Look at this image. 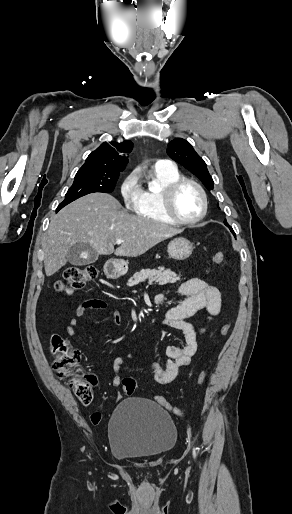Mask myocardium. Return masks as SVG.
Wrapping results in <instances>:
<instances>
[{
	"label": "myocardium",
	"instance_id": "obj_1",
	"mask_svg": "<svg viewBox=\"0 0 292 514\" xmlns=\"http://www.w3.org/2000/svg\"><path fill=\"white\" fill-rule=\"evenodd\" d=\"M187 185L194 187L198 191L201 200L200 213L191 220L181 219L174 211V196L180 188ZM158 199L161 209L168 220L178 225L188 226L196 224L205 217L207 212V197L203 187L199 183L190 179H178L177 181L162 187L158 192Z\"/></svg>",
	"mask_w": 292,
	"mask_h": 514
}]
</instances>
